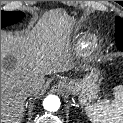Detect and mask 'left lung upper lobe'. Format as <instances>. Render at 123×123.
Segmentation results:
<instances>
[{
	"instance_id": "obj_1",
	"label": "left lung upper lobe",
	"mask_w": 123,
	"mask_h": 123,
	"mask_svg": "<svg viewBox=\"0 0 123 123\" xmlns=\"http://www.w3.org/2000/svg\"><path fill=\"white\" fill-rule=\"evenodd\" d=\"M115 23L116 44L118 49L123 52V20L117 16Z\"/></svg>"
}]
</instances>
